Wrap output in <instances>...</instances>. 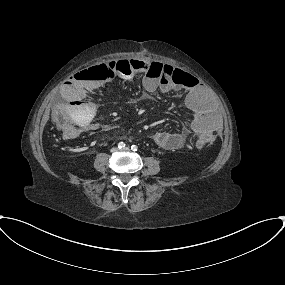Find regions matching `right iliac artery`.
I'll return each mask as SVG.
<instances>
[{
  "mask_svg": "<svg viewBox=\"0 0 285 285\" xmlns=\"http://www.w3.org/2000/svg\"><path fill=\"white\" fill-rule=\"evenodd\" d=\"M125 147V144L123 143V142H120L119 144H118V148L119 149H122V148H124Z\"/></svg>",
  "mask_w": 285,
  "mask_h": 285,
  "instance_id": "82829eb1",
  "label": "right iliac artery"
}]
</instances>
